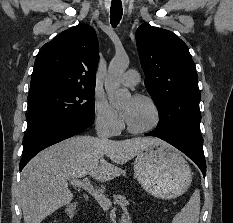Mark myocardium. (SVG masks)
<instances>
[{
	"label": "myocardium",
	"instance_id": "obj_1",
	"mask_svg": "<svg viewBox=\"0 0 233 223\" xmlns=\"http://www.w3.org/2000/svg\"><path fill=\"white\" fill-rule=\"evenodd\" d=\"M134 98L144 100L150 105V107L152 108L154 112L155 121L151 127L144 129V130L134 129L128 123L126 124V129L128 130L129 133L133 135H147V134H150L156 131L162 124V113H161V110L158 104L155 102L154 99L144 94H137L134 96Z\"/></svg>",
	"mask_w": 233,
	"mask_h": 223
}]
</instances>
